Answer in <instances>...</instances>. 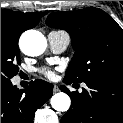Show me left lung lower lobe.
Here are the masks:
<instances>
[{"label": "left lung lower lobe", "instance_id": "left-lung-lower-lobe-1", "mask_svg": "<svg viewBox=\"0 0 123 123\" xmlns=\"http://www.w3.org/2000/svg\"><path fill=\"white\" fill-rule=\"evenodd\" d=\"M66 84L72 81L64 78ZM82 93L65 91L72 100L61 123H123V80L106 79L85 82Z\"/></svg>", "mask_w": 123, "mask_h": 123}]
</instances>
